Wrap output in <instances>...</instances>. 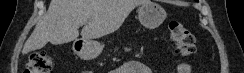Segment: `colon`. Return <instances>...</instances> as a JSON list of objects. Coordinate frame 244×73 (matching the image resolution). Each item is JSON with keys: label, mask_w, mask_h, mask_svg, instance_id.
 I'll use <instances>...</instances> for the list:
<instances>
[{"label": "colon", "mask_w": 244, "mask_h": 73, "mask_svg": "<svg viewBox=\"0 0 244 73\" xmlns=\"http://www.w3.org/2000/svg\"><path fill=\"white\" fill-rule=\"evenodd\" d=\"M170 38L179 57H188L195 52V37L177 20L169 22ZM54 65L53 58L44 52L33 53L25 65L23 73H50Z\"/></svg>", "instance_id": "obj_1"}]
</instances>
